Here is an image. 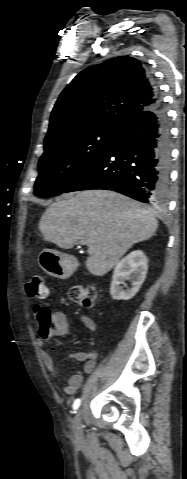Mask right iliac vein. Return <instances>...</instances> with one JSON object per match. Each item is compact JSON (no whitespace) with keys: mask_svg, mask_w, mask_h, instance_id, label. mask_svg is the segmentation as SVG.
I'll list each match as a JSON object with an SVG mask.
<instances>
[{"mask_svg":"<svg viewBox=\"0 0 187 479\" xmlns=\"http://www.w3.org/2000/svg\"><path fill=\"white\" fill-rule=\"evenodd\" d=\"M81 423H82V409L79 408L73 420V426L75 427L77 433L80 432Z\"/></svg>","mask_w":187,"mask_h":479,"instance_id":"right-iliac-vein-1","label":"right iliac vein"}]
</instances>
